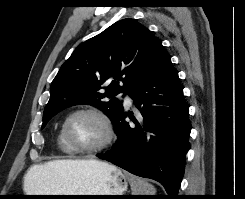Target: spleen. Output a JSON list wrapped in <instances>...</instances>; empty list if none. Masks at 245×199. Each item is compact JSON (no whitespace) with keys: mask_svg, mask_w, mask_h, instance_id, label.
I'll return each instance as SVG.
<instances>
[{"mask_svg":"<svg viewBox=\"0 0 245 199\" xmlns=\"http://www.w3.org/2000/svg\"><path fill=\"white\" fill-rule=\"evenodd\" d=\"M131 186L132 195H155V188L146 180L126 173Z\"/></svg>","mask_w":245,"mask_h":199,"instance_id":"obj_1","label":"spleen"}]
</instances>
